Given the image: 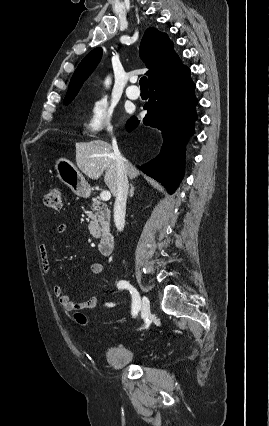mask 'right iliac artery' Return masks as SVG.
<instances>
[{
  "instance_id": "right-iliac-artery-1",
  "label": "right iliac artery",
  "mask_w": 269,
  "mask_h": 426,
  "mask_svg": "<svg viewBox=\"0 0 269 426\" xmlns=\"http://www.w3.org/2000/svg\"><path fill=\"white\" fill-rule=\"evenodd\" d=\"M119 287L129 290L132 297V315L136 316L141 308L140 296L138 291L126 281H120Z\"/></svg>"
}]
</instances>
